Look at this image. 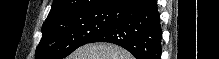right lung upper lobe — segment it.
<instances>
[{"mask_svg":"<svg viewBox=\"0 0 219 59\" xmlns=\"http://www.w3.org/2000/svg\"><path fill=\"white\" fill-rule=\"evenodd\" d=\"M121 0H54L45 22L52 19L77 15L95 10L114 9Z\"/></svg>","mask_w":219,"mask_h":59,"instance_id":"cb5924a9","label":"right lung upper lobe"}]
</instances>
